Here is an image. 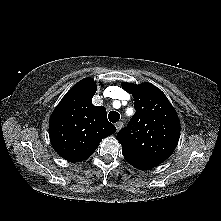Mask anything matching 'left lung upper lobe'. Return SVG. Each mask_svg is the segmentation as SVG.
<instances>
[{"mask_svg": "<svg viewBox=\"0 0 221 221\" xmlns=\"http://www.w3.org/2000/svg\"><path fill=\"white\" fill-rule=\"evenodd\" d=\"M134 97L136 113L117 134L125 159L144 170L158 166L175 150L180 121L165 94L151 83H123Z\"/></svg>", "mask_w": 221, "mask_h": 221, "instance_id": "1", "label": "left lung upper lobe"}]
</instances>
